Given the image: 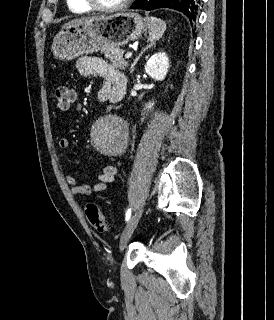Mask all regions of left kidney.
<instances>
[{"label": "left kidney", "mask_w": 274, "mask_h": 320, "mask_svg": "<svg viewBox=\"0 0 274 320\" xmlns=\"http://www.w3.org/2000/svg\"><path fill=\"white\" fill-rule=\"evenodd\" d=\"M168 68L169 58H167L165 52H157V54L151 56L148 62H146L144 70L147 76H150V78H153L156 82H162L168 74ZM154 104L155 102H149V104H146L145 110H151Z\"/></svg>", "instance_id": "obj_1"}]
</instances>
